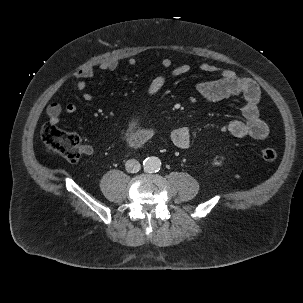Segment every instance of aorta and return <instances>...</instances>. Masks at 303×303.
I'll use <instances>...</instances> for the list:
<instances>
[{
  "label": "aorta",
  "mask_w": 303,
  "mask_h": 303,
  "mask_svg": "<svg viewBox=\"0 0 303 303\" xmlns=\"http://www.w3.org/2000/svg\"><path fill=\"white\" fill-rule=\"evenodd\" d=\"M143 167L146 172H158L161 167V160L158 157L150 156L143 161Z\"/></svg>",
  "instance_id": "aorta-1"
}]
</instances>
